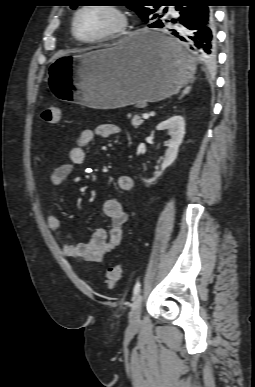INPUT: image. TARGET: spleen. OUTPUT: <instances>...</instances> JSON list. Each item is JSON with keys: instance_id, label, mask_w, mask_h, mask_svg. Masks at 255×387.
Masks as SVG:
<instances>
[{"instance_id": "spleen-1", "label": "spleen", "mask_w": 255, "mask_h": 387, "mask_svg": "<svg viewBox=\"0 0 255 387\" xmlns=\"http://www.w3.org/2000/svg\"><path fill=\"white\" fill-rule=\"evenodd\" d=\"M190 89H191V87L187 86V87L184 89L182 95H185V94L189 93Z\"/></svg>"}]
</instances>
